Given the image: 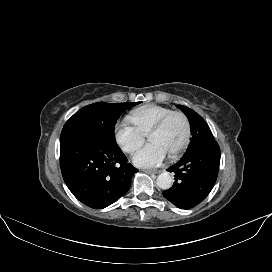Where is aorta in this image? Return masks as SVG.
I'll return each mask as SVG.
<instances>
[{
	"instance_id": "762f6f07",
	"label": "aorta",
	"mask_w": 272,
	"mask_h": 272,
	"mask_svg": "<svg viewBox=\"0 0 272 272\" xmlns=\"http://www.w3.org/2000/svg\"><path fill=\"white\" fill-rule=\"evenodd\" d=\"M156 184L159 188H161L163 190H168L169 188H171V186L173 184V178L167 172L161 173L157 177Z\"/></svg>"
}]
</instances>
